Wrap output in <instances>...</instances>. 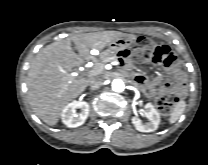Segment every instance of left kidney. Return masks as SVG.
<instances>
[{
  "mask_svg": "<svg viewBox=\"0 0 208 165\" xmlns=\"http://www.w3.org/2000/svg\"><path fill=\"white\" fill-rule=\"evenodd\" d=\"M145 115L150 120L149 123L144 124L142 123L141 120H139L136 116H134L132 118V124L140 132L155 131L160 124V114L151 103H147L145 105Z\"/></svg>",
  "mask_w": 208,
  "mask_h": 165,
  "instance_id": "left-kidney-1",
  "label": "left kidney"
}]
</instances>
